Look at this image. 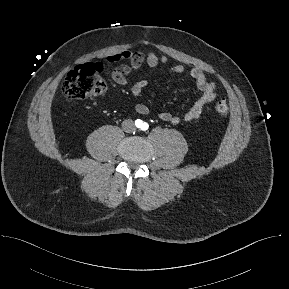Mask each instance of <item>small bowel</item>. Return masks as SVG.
<instances>
[{"label": "small bowel", "mask_w": 289, "mask_h": 289, "mask_svg": "<svg viewBox=\"0 0 289 289\" xmlns=\"http://www.w3.org/2000/svg\"><path fill=\"white\" fill-rule=\"evenodd\" d=\"M121 60H125L127 63L116 66L111 72L112 80L121 86L129 85L128 76L139 69L143 64H146L151 69H156L158 66L166 65L168 62L166 56H158L153 52L129 50L110 55L106 58V62L109 64H114ZM169 69L177 74L187 72L185 66L181 64H174L170 66ZM188 74L194 80L197 89L201 92V96L193 103L182 118L185 122H192L201 117L205 108L216 99L217 93L216 84L209 81L201 69L192 68L188 70ZM147 86L148 82L146 80H140L131 85V92L134 96H138ZM135 110L141 115L149 113L148 106L142 103L137 104ZM158 117L173 125H177L181 122V118L178 115L167 111L159 112Z\"/></svg>", "instance_id": "obj_1"}]
</instances>
